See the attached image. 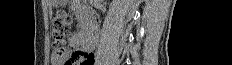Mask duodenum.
Here are the masks:
<instances>
[{
  "mask_svg": "<svg viewBox=\"0 0 232 65\" xmlns=\"http://www.w3.org/2000/svg\"><path fill=\"white\" fill-rule=\"evenodd\" d=\"M79 12L83 24L84 49L87 51L94 50L99 35L97 17L92 11L84 8H80Z\"/></svg>",
  "mask_w": 232,
  "mask_h": 65,
  "instance_id": "duodenum-1",
  "label": "duodenum"
}]
</instances>
